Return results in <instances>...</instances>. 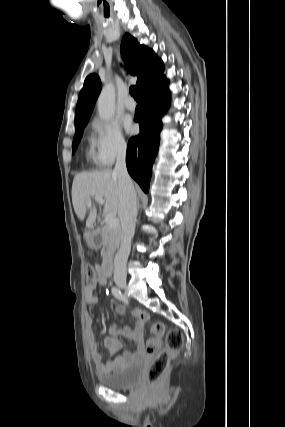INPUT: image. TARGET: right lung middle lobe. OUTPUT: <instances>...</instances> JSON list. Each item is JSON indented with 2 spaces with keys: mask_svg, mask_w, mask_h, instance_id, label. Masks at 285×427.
<instances>
[{
  "mask_svg": "<svg viewBox=\"0 0 285 427\" xmlns=\"http://www.w3.org/2000/svg\"><path fill=\"white\" fill-rule=\"evenodd\" d=\"M84 126H81V127L75 129V136H74L73 146H72L73 153L75 152V150H76V148L80 142V139L83 135Z\"/></svg>",
  "mask_w": 285,
  "mask_h": 427,
  "instance_id": "obj_1",
  "label": "right lung middle lobe"
}]
</instances>
